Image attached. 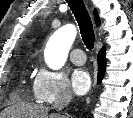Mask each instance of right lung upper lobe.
Listing matches in <instances>:
<instances>
[{"instance_id":"1","label":"right lung upper lobe","mask_w":133,"mask_h":118,"mask_svg":"<svg viewBox=\"0 0 133 118\" xmlns=\"http://www.w3.org/2000/svg\"><path fill=\"white\" fill-rule=\"evenodd\" d=\"M94 19H95L96 25L99 26L100 25V18L98 16V13L96 10H94Z\"/></svg>"}]
</instances>
